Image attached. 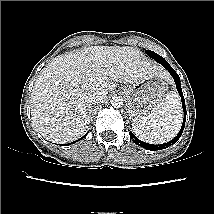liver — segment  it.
<instances>
[{
    "instance_id": "obj_1",
    "label": "liver",
    "mask_w": 214,
    "mask_h": 214,
    "mask_svg": "<svg viewBox=\"0 0 214 214\" xmlns=\"http://www.w3.org/2000/svg\"><path fill=\"white\" fill-rule=\"evenodd\" d=\"M167 78L162 66L129 46H90L60 55L38 76L31 97L32 121L47 140L67 143L80 138L91 121L89 93L132 84L152 76Z\"/></svg>"
}]
</instances>
